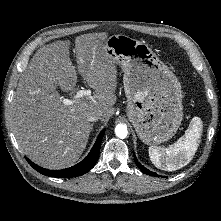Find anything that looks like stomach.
<instances>
[{
	"label": "stomach",
	"mask_w": 221,
	"mask_h": 221,
	"mask_svg": "<svg viewBox=\"0 0 221 221\" xmlns=\"http://www.w3.org/2000/svg\"><path fill=\"white\" fill-rule=\"evenodd\" d=\"M105 47L123 72L127 116L145 144L172 138L183 119L180 82L147 44L127 35L109 36Z\"/></svg>",
	"instance_id": "obj_1"
}]
</instances>
